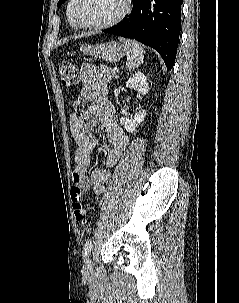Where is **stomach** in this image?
I'll return each instance as SVG.
<instances>
[{"mask_svg": "<svg viewBox=\"0 0 239 303\" xmlns=\"http://www.w3.org/2000/svg\"><path fill=\"white\" fill-rule=\"evenodd\" d=\"M81 51L84 54L92 55L105 61L116 62L125 55L126 48L111 41L103 44L86 45L81 48Z\"/></svg>", "mask_w": 239, "mask_h": 303, "instance_id": "1", "label": "stomach"}]
</instances>
